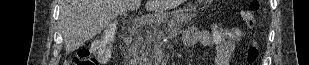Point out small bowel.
<instances>
[{"mask_svg":"<svg viewBox=\"0 0 309 65\" xmlns=\"http://www.w3.org/2000/svg\"><path fill=\"white\" fill-rule=\"evenodd\" d=\"M184 45L189 49L197 45L212 48L214 65H231L235 56V37L224 31L210 32L197 27H189L184 33Z\"/></svg>","mask_w":309,"mask_h":65,"instance_id":"1","label":"small bowel"}]
</instances>
